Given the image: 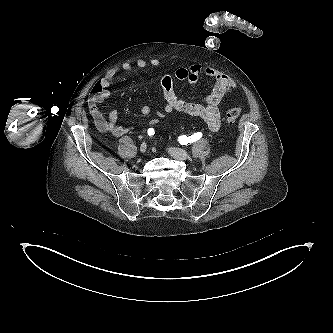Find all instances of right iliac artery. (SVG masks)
<instances>
[{
  "label": "right iliac artery",
  "mask_w": 333,
  "mask_h": 333,
  "mask_svg": "<svg viewBox=\"0 0 333 333\" xmlns=\"http://www.w3.org/2000/svg\"><path fill=\"white\" fill-rule=\"evenodd\" d=\"M147 133H148L149 136H152V135L155 134V130L153 128H149Z\"/></svg>",
  "instance_id": "right-iliac-artery-1"
}]
</instances>
